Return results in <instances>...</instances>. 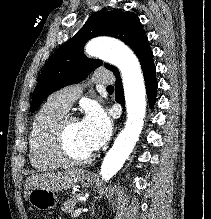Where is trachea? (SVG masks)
Instances as JSON below:
<instances>
[{"instance_id": "3493384b", "label": "trachea", "mask_w": 211, "mask_h": 219, "mask_svg": "<svg viewBox=\"0 0 211 219\" xmlns=\"http://www.w3.org/2000/svg\"><path fill=\"white\" fill-rule=\"evenodd\" d=\"M107 89L112 90V89H114V87L110 85V86L107 87Z\"/></svg>"}]
</instances>
